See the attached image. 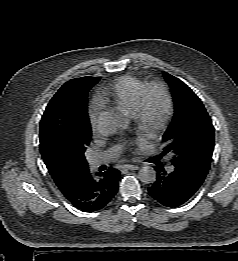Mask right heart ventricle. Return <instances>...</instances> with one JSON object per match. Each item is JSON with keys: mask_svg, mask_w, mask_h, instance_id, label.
<instances>
[{"mask_svg": "<svg viewBox=\"0 0 238 261\" xmlns=\"http://www.w3.org/2000/svg\"><path fill=\"white\" fill-rule=\"evenodd\" d=\"M145 84L146 82L139 77L122 76L99 94V102L111 104L126 114L132 115L136 110L139 94Z\"/></svg>", "mask_w": 238, "mask_h": 261, "instance_id": "e07e8e85", "label": "right heart ventricle"}]
</instances>
